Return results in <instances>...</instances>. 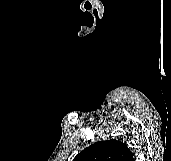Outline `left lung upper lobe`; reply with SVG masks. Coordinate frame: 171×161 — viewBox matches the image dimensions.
I'll return each instance as SVG.
<instances>
[{"mask_svg": "<svg viewBox=\"0 0 171 161\" xmlns=\"http://www.w3.org/2000/svg\"><path fill=\"white\" fill-rule=\"evenodd\" d=\"M73 161H134V158L126 144L111 139L85 148Z\"/></svg>", "mask_w": 171, "mask_h": 161, "instance_id": "5c2ea615", "label": "left lung upper lobe"}]
</instances>
